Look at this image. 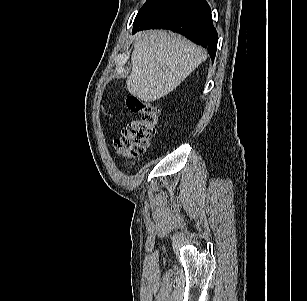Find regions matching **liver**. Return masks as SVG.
<instances>
[{
    "label": "liver",
    "mask_w": 307,
    "mask_h": 301,
    "mask_svg": "<svg viewBox=\"0 0 307 301\" xmlns=\"http://www.w3.org/2000/svg\"><path fill=\"white\" fill-rule=\"evenodd\" d=\"M206 57L202 47L179 35L163 30L143 32L135 38L127 89L142 101L158 100L180 85Z\"/></svg>",
    "instance_id": "1"
}]
</instances>
